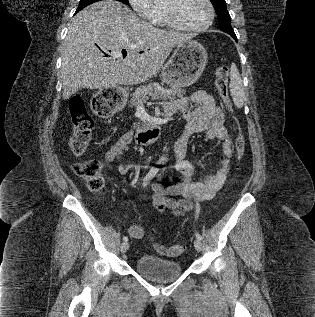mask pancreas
I'll return each mask as SVG.
<instances>
[{
	"label": "pancreas",
	"mask_w": 315,
	"mask_h": 317,
	"mask_svg": "<svg viewBox=\"0 0 315 317\" xmlns=\"http://www.w3.org/2000/svg\"><path fill=\"white\" fill-rule=\"evenodd\" d=\"M185 94V90L180 87H171V89H164L159 84H149L141 86L132 94L131 105L138 107L145 103L149 98L151 99H173L181 97Z\"/></svg>",
	"instance_id": "obj_1"
}]
</instances>
